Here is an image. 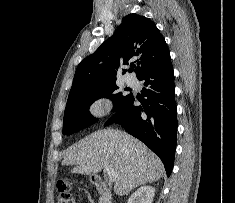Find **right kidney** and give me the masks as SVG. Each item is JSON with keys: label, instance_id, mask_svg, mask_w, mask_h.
<instances>
[{"label": "right kidney", "instance_id": "obj_1", "mask_svg": "<svg viewBox=\"0 0 235 203\" xmlns=\"http://www.w3.org/2000/svg\"><path fill=\"white\" fill-rule=\"evenodd\" d=\"M155 195V188L142 186L138 188L128 199L127 203H152Z\"/></svg>", "mask_w": 235, "mask_h": 203}]
</instances>
